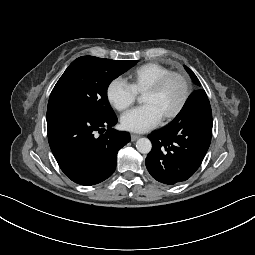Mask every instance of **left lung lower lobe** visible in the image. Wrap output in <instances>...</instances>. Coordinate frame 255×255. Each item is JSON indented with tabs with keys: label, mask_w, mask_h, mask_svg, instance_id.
Segmentation results:
<instances>
[{
	"label": "left lung lower lobe",
	"mask_w": 255,
	"mask_h": 255,
	"mask_svg": "<svg viewBox=\"0 0 255 255\" xmlns=\"http://www.w3.org/2000/svg\"><path fill=\"white\" fill-rule=\"evenodd\" d=\"M212 111L204 90L191 93L175 119L148 138L152 150L145 164L157 181L173 185L190 178L210 146Z\"/></svg>",
	"instance_id": "left-lung-lower-lobe-1"
}]
</instances>
